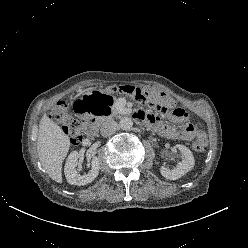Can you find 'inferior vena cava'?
<instances>
[{
	"label": "inferior vena cava",
	"instance_id": "1",
	"mask_svg": "<svg viewBox=\"0 0 248 248\" xmlns=\"http://www.w3.org/2000/svg\"><path fill=\"white\" fill-rule=\"evenodd\" d=\"M117 129V123L114 120H108L104 122L100 128V133L104 137H108L115 133Z\"/></svg>",
	"mask_w": 248,
	"mask_h": 248
}]
</instances>
